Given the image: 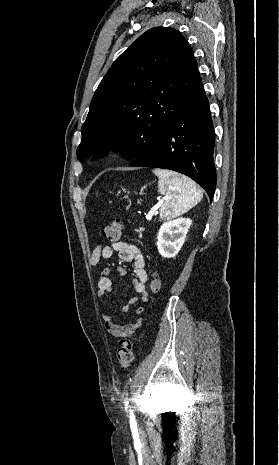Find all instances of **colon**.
Returning <instances> with one entry per match:
<instances>
[{
  "label": "colon",
  "mask_w": 279,
  "mask_h": 465,
  "mask_svg": "<svg viewBox=\"0 0 279 465\" xmlns=\"http://www.w3.org/2000/svg\"><path fill=\"white\" fill-rule=\"evenodd\" d=\"M123 231V224L120 218H114L103 230V237L109 241H117ZM150 288L152 292H157L160 288L159 280L154 277L151 281ZM117 360L121 367L129 368L133 365L134 352L133 343L129 339L121 341L117 351Z\"/></svg>",
  "instance_id": "colon-1"
}]
</instances>
